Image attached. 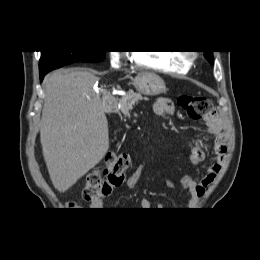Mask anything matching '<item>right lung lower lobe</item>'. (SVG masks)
Segmentation results:
<instances>
[{
  "instance_id": "1",
  "label": "right lung lower lobe",
  "mask_w": 260,
  "mask_h": 260,
  "mask_svg": "<svg viewBox=\"0 0 260 260\" xmlns=\"http://www.w3.org/2000/svg\"><path fill=\"white\" fill-rule=\"evenodd\" d=\"M46 74H40V80L43 81V78Z\"/></svg>"
}]
</instances>
